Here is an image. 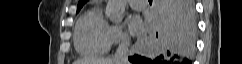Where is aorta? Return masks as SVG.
I'll return each instance as SVG.
<instances>
[{
	"mask_svg": "<svg viewBox=\"0 0 242 64\" xmlns=\"http://www.w3.org/2000/svg\"><path fill=\"white\" fill-rule=\"evenodd\" d=\"M127 0H108L106 17L115 23H120L126 8Z\"/></svg>",
	"mask_w": 242,
	"mask_h": 64,
	"instance_id": "762f6f07",
	"label": "aorta"
}]
</instances>
